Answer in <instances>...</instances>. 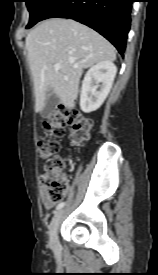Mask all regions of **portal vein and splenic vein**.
<instances>
[{"label": "portal vein and splenic vein", "mask_w": 158, "mask_h": 275, "mask_svg": "<svg viewBox=\"0 0 158 275\" xmlns=\"http://www.w3.org/2000/svg\"><path fill=\"white\" fill-rule=\"evenodd\" d=\"M60 68H61V64L57 63V64L54 65L55 70L58 71V70H60Z\"/></svg>", "instance_id": "1"}]
</instances>
